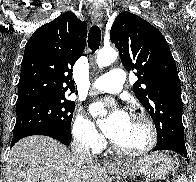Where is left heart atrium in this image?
<instances>
[{
  "mask_svg": "<svg viewBox=\"0 0 196 182\" xmlns=\"http://www.w3.org/2000/svg\"><path fill=\"white\" fill-rule=\"evenodd\" d=\"M106 105L102 102L95 103L91 111L95 116H100ZM128 120L129 116L124 111L114 109L107 118L100 120V125L105 135L114 141L123 132Z\"/></svg>",
  "mask_w": 196,
  "mask_h": 182,
  "instance_id": "39dd6f15",
  "label": "left heart atrium"
}]
</instances>
